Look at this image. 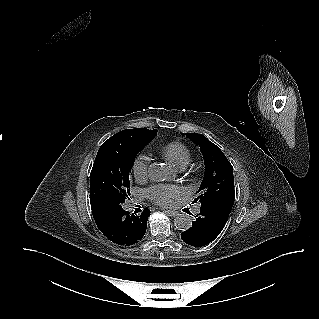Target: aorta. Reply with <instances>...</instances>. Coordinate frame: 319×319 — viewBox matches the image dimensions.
Wrapping results in <instances>:
<instances>
[{
	"instance_id": "1",
	"label": "aorta",
	"mask_w": 319,
	"mask_h": 319,
	"mask_svg": "<svg viewBox=\"0 0 319 319\" xmlns=\"http://www.w3.org/2000/svg\"><path fill=\"white\" fill-rule=\"evenodd\" d=\"M149 178L155 182H161L168 178L169 170L162 163H153L150 165L149 170ZM174 226L178 230H188L192 226V221L189 215L187 214H179L174 219Z\"/></svg>"
}]
</instances>
